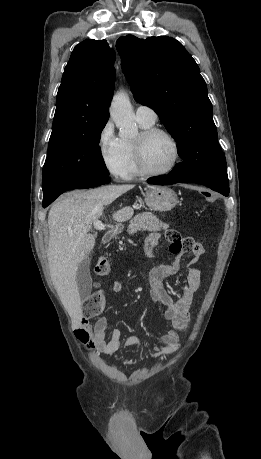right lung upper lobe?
Wrapping results in <instances>:
<instances>
[{"instance_id":"1","label":"right lung upper lobe","mask_w":261,"mask_h":459,"mask_svg":"<svg viewBox=\"0 0 261 459\" xmlns=\"http://www.w3.org/2000/svg\"><path fill=\"white\" fill-rule=\"evenodd\" d=\"M115 55L105 40L88 39L74 48L58 89L51 137L82 132L108 121Z\"/></svg>"}]
</instances>
